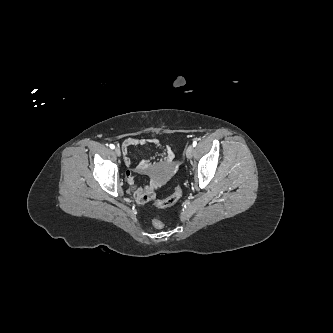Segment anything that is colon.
I'll return each mask as SVG.
<instances>
[{"instance_id": "1", "label": "colon", "mask_w": 333, "mask_h": 333, "mask_svg": "<svg viewBox=\"0 0 333 333\" xmlns=\"http://www.w3.org/2000/svg\"><path fill=\"white\" fill-rule=\"evenodd\" d=\"M181 196H182V187L179 185L175 188L174 192L170 196L161 200H157L155 202V206L158 208H166L172 206L181 198ZM152 224L157 229H161L164 226L163 221L159 218H154L152 220Z\"/></svg>"}]
</instances>
